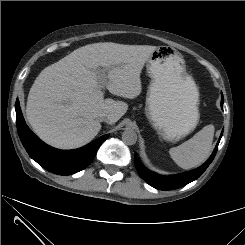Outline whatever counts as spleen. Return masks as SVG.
<instances>
[{
  "mask_svg": "<svg viewBox=\"0 0 245 245\" xmlns=\"http://www.w3.org/2000/svg\"><path fill=\"white\" fill-rule=\"evenodd\" d=\"M215 128L212 124L203 127L192 138L181 145L171 148L169 154L174 162L183 169L201 165L209 156Z\"/></svg>",
  "mask_w": 245,
  "mask_h": 245,
  "instance_id": "1",
  "label": "spleen"
}]
</instances>
